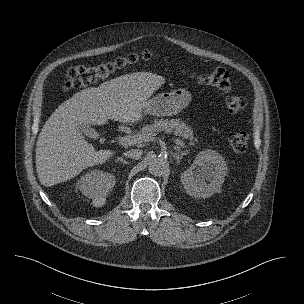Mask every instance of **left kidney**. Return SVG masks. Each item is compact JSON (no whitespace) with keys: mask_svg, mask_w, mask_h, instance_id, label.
<instances>
[{"mask_svg":"<svg viewBox=\"0 0 304 304\" xmlns=\"http://www.w3.org/2000/svg\"><path fill=\"white\" fill-rule=\"evenodd\" d=\"M227 171L228 166L221 154L205 150L181 174L180 181L188 194L205 199L220 191Z\"/></svg>","mask_w":304,"mask_h":304,"instance_id":"5707ae66","label":"left kidney"}]
</instances>
